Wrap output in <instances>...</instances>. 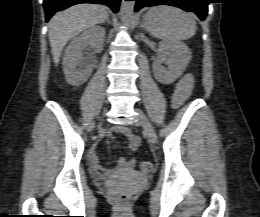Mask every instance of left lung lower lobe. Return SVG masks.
I'll return each mask as SVG.
<instances>
[{"mask_svg": "<svg viewBox=\"0 0 260 217\" xmlns=\"http://www.w3.org/2000/svg\"><path fill=\"white\" fill-rule=\"evenodd\" d=\"M136 1L135 11L145 6L171 5L179 7L188 12H194L201 20H204L208 13L210 0H133Z\"/></svg>", "mask_w": 260, "mask_h": 217, "instance_id": "left-lung-lower-lobe-1", "label": "left lung lower lobe"}]
</instances>
